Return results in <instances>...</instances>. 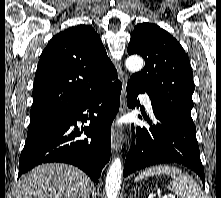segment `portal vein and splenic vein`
<instances>
[{
    "label": "portal vein and splenic vein",
    "instance_id": "portal-vein-and-splenic-vein-1",
    "mask_svg": "<svg viewBox=\"0 0 221 198\" xmlns=\"http://www.w3.org/2000/svg\"><path fill=\"white\" fill-rule=\"evenodd\" d=\"M162 198H175V197H174V196L169 195V196H163Z\"/></svg>",
    "mask_w": 221,
    "mask_h": 198
}]
</instances>
